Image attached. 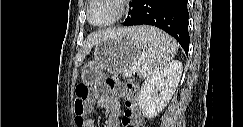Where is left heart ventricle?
Segmentation results:
<instances>
[{
    "mask_svg": "<svg viewBox=\"0 0 243 127\" xmlns=\"http://www.w3.org/2000/svg\"><path fill=\"white\" fill-rule=\"evenodd\" d=\"M117 12L114 4L106 0L93 3L90 9V19L93 23H103L112 18Z\"/></svg>",
    "mask_w": 243,
    "mask_h": 127,
    "instance_id": "1",
    "label": "left heart ventricle"
}]
</instances>
